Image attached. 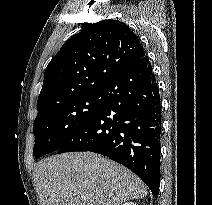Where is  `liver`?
I'll use <instances>...</instances> for the list:
<instances>
[{
    "instance_id": "liver-1",
    "label": "liver",
    "mask_w": 212,
    "mask_h": 205,
    "mask_svg": "<svg viewBox=\"0 0 212 205\" xmlns=\"http://www.w3.org/2000/svg\"><path fill=\"white\" fill-rule=\"evenodd\" d=\"M34 176L42 205H121L148 193L133 172L93 152L46 158Z\"/></svg>"
}]
</instances>
